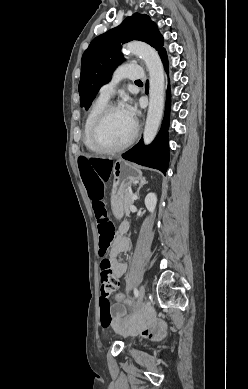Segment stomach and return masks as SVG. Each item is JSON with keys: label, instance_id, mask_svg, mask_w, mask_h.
Instances as JSON below:
<instances>
[{"label": "stomach", "instance_id": "1", "mask_svg": "<svg viewBox=\"0 0 248 389\" xmlns=\"http://www.w3.org/2000/svg\"><path fill=\"white\" fill-rule=\"evenodd\" d=\"M114 175L113 189L111 194V205L113 214L117 220H120L124 214V191L133 183L143 178L140 168L128 161L118 159L112 164Z\"/></svg>", "mask_w": 248, "mask_h": 389}]
</instances>
